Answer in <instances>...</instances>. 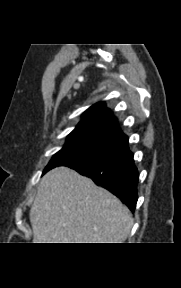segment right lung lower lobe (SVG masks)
I'll list each match as a JSON object with an SVG mask.
<instances>
[{
    "label": "right lung lower lobe",
    "instance_id": "1",
    "mask_svg": "<svg viewBox=\"0 0 181 288\" xmlns=\"http://www.w3.org/2000/svg\"><path fill=\"white\" fill-rule=\"evenodd\" d=\"M67 166L112 192L134 212L138 199V171L130 151L111 158L80 161Z\"/></svg>",
    "mask_w": 181,
    "mask_h": 288
}]
</instances>
